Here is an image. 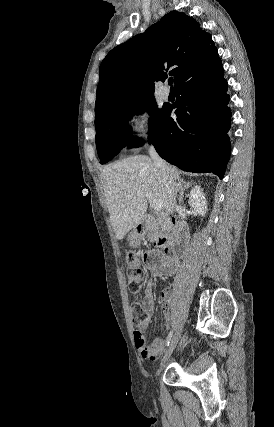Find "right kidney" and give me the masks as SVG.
Instances as JSON below:
<instances>
[{"label":"right kidney","mask_w":274,"mask_h":427,"mask_svg":"<svg viewBox=\"0 0 274 427\" xmlns=\"http://www.w3.org/2000/svg\"><path fill=\"white\" fill-rule=\"evenodd\" d=\"M188 204L194 208L196 214L205 215L207 212V202L200 186H195L190 192Z\"/></svg>","instance_id":"right-kidney-1"}]
</instances>
